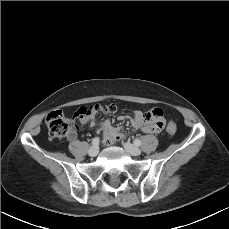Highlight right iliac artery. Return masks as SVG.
Segmentation results:
<instances>
[{
    "mask_svg": "<svg viewBox=\"0 0 229 229\" xmlns=\"http://www.w3.org/2000/svg\"><path fill=\"white\" fill-rule=\"evenodd\" d=\"M99 143H100L99 137L93 138V140H92V145L93 146H97V145H99Z\"/></svg>",
    "mask_w": 229,
    "mask_h": 229,
    "instance_id": "right-iliac-artery-1",
    "label": "right iliac artery"
}]
</instances>
